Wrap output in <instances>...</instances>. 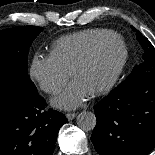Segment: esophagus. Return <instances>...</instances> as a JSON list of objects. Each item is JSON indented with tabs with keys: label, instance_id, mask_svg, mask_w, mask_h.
<instances>
[{
	"label": "esophagus",
	"instance_id": "1",
	"mask_svg": "<svg viewBox=\"0 0 155 155\" xmlns=\"http://www.w3.org/2000/svg\"><path fill=\"white\" fill-rule=\"evenodd\" d=\"M66 117L69 121H71L76 117V113H67Z\"/></svg>",
	"mask_w": 155,
	"mask_h": 155
}]
</instances>
